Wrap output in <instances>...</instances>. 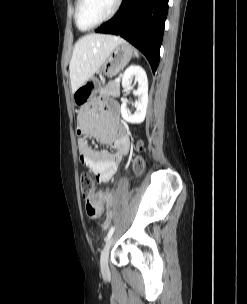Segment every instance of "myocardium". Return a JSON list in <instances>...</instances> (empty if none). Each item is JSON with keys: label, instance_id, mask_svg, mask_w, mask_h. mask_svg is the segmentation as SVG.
Instances as JSON below:
<instances>
[{"label": "myocardium", "instance_id": "1", "mask_svg": "<svg viewBox=\"0 0 247 304\" xmlns=\"http://www.w3.org/2000/svg\"><path fill=\"white\" fill-rule=\"evenodd\" d=\"M122 1L123 0H116L114 8L104 19H102L101 21H99L98 23H96L93 26L83 28L80 25L79 17H80V9H81V6H82L84 0H77V4H76V8H75V22H76L77 27L82 31H87V30L97 28L98 26H100V25L104 24L105 22L111 20L116 15V13L119 11V9L121 7V4H122Z\"/></svg>", "mask_w": 247, "mask_h": 304}]
</instances>
